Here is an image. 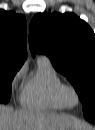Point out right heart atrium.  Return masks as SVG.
<instances>
[{"instance_id":"d8ad5b80","label":"right heart atrium","mask_w":95,"mask_h":130,"mask_svg":"<svg viewBox=\"0 0 95 130\" xmlns=\"http://www.w3.org/2000/svg\"><path fill=\"white\" fill-rule=\"evenodd\" d=\"M24 74V68H20L17 70V72L14 74L12 80H11V88L15 89L16 86L18 85L20 79L22 78Z\"/></svg>"}]
</instances>
